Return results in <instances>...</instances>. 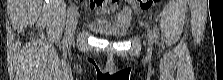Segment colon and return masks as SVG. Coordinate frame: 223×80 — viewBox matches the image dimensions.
I'll list each match as a JSON object with an SVG mask.
<instances>
[{
	"mask_svg": "<svg viewBox=\"0 0 223 80\" xmlns=\"http://www.w3.org/2000/svg\"><path fill=\"white\" fill-rule=\"evenodd\" d=\"M96 1H103V2H106L108 4L111 3V2L114 3V1H110V0H96ZM158 1L159 0H138L137 3L140 6V8H142V9H148V8L152 7Z\"/></svg>",
	"mask_w": 223,
	"mask_h": 80,
	"instance_id": "colon-1",
	"label": "colon"
}]
</instances>
